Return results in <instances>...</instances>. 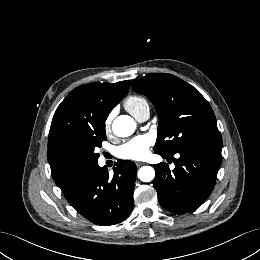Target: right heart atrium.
Instances as JSON below:
<instances>
[{
    "instance_id": "d8ad5b80",
    "label": "right heart atrium",
    "mask_w": 260,
    "mask_h": 260,
    "mask_svg": "<svg viewBox=\"0 0 260 260\" xmlns=\"http://www.w3.org/2000/svg\"><path fill=\"white\" fill-rule=\"evenodd\" d=\"M111 119H112V114H110L105 122L106 128L108 129L110 127V123H111Z\"/></svg>"
}]
</instances>
